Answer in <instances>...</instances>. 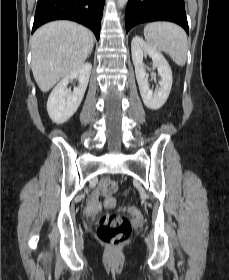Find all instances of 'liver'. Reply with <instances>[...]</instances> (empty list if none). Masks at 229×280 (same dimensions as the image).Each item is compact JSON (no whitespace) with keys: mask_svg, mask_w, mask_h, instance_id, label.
<instances>
[{"mask_svg":"<svg viewBox=\"0 0 229 280\" xmlns=\"http://www.w3.org/2000/svg\"><path fill=\"white\" fill-rule=\"evenodd\" d=\"M31 68L42 92L84 64L93 48V34L71 21H54L37 29L30 40Z\"/></svg>","mask_w":229,"mask_h":280,"instance_id":"liver-1","label":"liver"}]
</instances>
